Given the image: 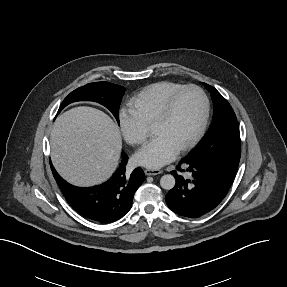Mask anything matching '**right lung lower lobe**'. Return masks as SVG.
I'll return each mask as SVG.
<instances>
[{
	"instance_id": "1",
	"label": "right lung lower lobe",
	"mask_w": 287,
	"mask_h": 287,
	"mask_svg": "<svg viewBox=\"0 0 287 287\" xmlns=\"http://www.w3.org/2000/svg\"><path fill=\"white\" fill-rule=\"evenodd\" d=\"M122 161L113 176L98 186L81 188L62 179L53 166L52 173L68 203L80 215L99 223H112L128 213L136 190L145 180L138 167L126 172L128 156L122 152Z\"/></svg>"
}]
</instances>
